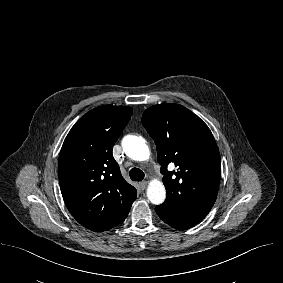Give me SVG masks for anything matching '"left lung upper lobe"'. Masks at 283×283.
Masks as SVG:
<instances>
[{
	"instance_id": "left-lung-upper-lobe-1",
	"label": "left lung upper lobe",
	"mask_w": 283,
	"mask_h": 283,
	"mask_svg": "<svg viewBox=\"0 0 283 283\" xmlns=\"http://www.w3.org/2000/svg\"><path fill=\"white\" fill-rule=\"evenodd\" d=\"M142 124L153 138L163 182L165 202L156 209L166 217L199 223L216 200L221 161L208 126L182 105L167 103L145 110ZM169 163L177 168L167 171Z\"/></svg>"
}]
</instances>
